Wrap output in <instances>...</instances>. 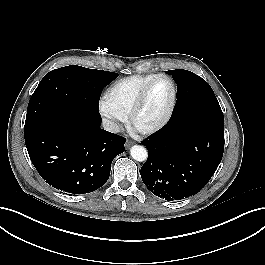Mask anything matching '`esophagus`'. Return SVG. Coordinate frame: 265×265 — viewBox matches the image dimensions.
Segmentation results:
<instances>
[{
  "label": "esophagus",
  "instance_id": "obj_1",
  "mask_svg": "<svg viewBox=\"0 0 265 265\" xmlns=\"http://www.w3.org/2000/svg\"><path fill=\"white\" fill-rule=\"evenodd\" d=\"M131 145H132L131 141H127L126 144H125L126 148L130 147Z\"/></svg>",
  "mask_w": 265,
  "mask_h": 265
}]
</instances>
